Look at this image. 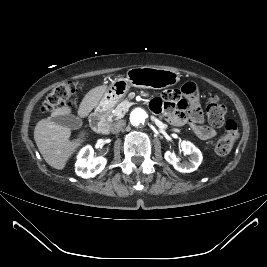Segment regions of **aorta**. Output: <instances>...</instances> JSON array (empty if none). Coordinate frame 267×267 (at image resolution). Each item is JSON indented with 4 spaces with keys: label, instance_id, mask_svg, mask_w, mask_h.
Here are the masks:
<instances>
[{
    "label": "aorta",
    "instance_id": "1",
    "mask_svg": "<svg viewBox=\"0 0 267 267\" xmlns=\"http://www.w3.org/2000/svg\"><path fill=\"white\" fill-rule=\"evenodd\" d=\"M148 120V115L145 110L135 108L130 114V121L134 126H142Z\"/></svg>",
    "mask_w": 267,
    "mask_h": 267
}]
</instances>
